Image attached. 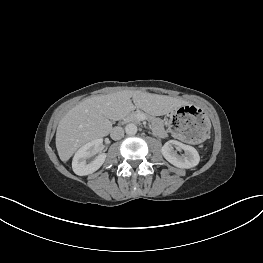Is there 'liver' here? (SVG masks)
Instances as JSON below:
<instances>
[{
  "label": "liver",
  "mask_w": 263,
  "mask_h": 263,
  "mask_svg": "<svg viewBox=\"0 0 263 263\" xmlns=\"http://www.w3.org/2000/svg\"><path fill=\"white\" fill-rule=\"evenodd\" d=\"M184 104L185 101L180 98L131 90L85 98L69 110L58 124V155L63 162L68 161L79 147L107 136L112 130L110 120H119L135 108L159 116Z\"/></svg>",
  "instance_id": "1"
}]
</instances>
